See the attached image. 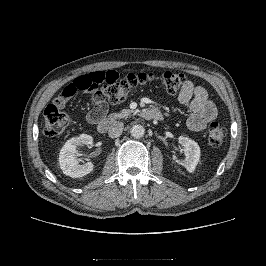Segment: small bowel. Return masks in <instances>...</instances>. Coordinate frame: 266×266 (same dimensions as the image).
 <instances>
[{
  "instance_id": "1",
  "label": "small bowel",
  "mask_w": 266,
  "mask_h": 266,
  "mask_svg": "<svg viewBox=\"0 0 266 266\" xmlns=\"http://www.w3.org/2000/svg\"><path fill=\"white\" fill-rule=\"evenodd\" d=\"M178 100L192 112L188 118L187 124L193 131L203 130L206 125L217 116V108L215 104L208 99L207 90L190 81H187L180 90ZM93 102V110H98L102 114L106 111V104L99 94L93 95Z\"/></svg>"
}]
</instances>
